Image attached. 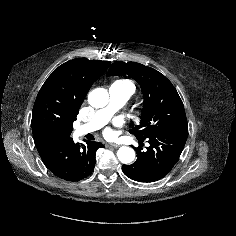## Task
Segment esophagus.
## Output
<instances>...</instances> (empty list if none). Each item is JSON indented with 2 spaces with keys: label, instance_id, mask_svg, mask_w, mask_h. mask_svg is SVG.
Returning a JSON list of instances; mask_svg holds the SVG:
<instances>
[{
  "label": "esophagus",
  "instance_id": "1",
  "mask_svg": "<svg viewBox=\"0 0 236 236\" xmlns=\"http://www.w3.org/2000/svg\"><path fill=\"white\" fill-rule=\"evenodd\" d=\"M109 147H112V148H119V145L118 144H108Z\"/></svg>",
  "mask_w": 236,
  "mask_h": 236
}]
</instances>
